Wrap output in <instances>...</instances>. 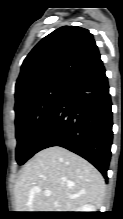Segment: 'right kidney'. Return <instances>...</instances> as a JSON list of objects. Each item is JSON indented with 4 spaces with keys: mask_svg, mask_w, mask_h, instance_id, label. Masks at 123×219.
<instances>
[{
    "mask_svg": "<svg viewBox=\"0 0 123 219\" xmlns=\"http://www.w3.org/2000/svg\"><path fill=\"white\" fill-rule=\"evenodd\" d=\"M77 212H96V208H95V206H93L91 204H87V205H84L81 208H79V210H77Z\"/></svg>",
    "mask_w": 123,
    "mask_h": 219,
    "instance_id": "right-kidney-1",
    "label": "right kidney"
}]
</instances>
